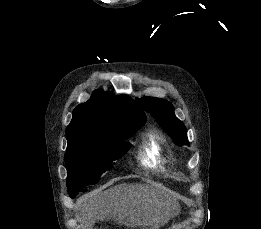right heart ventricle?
<instances>
[{
  "label": "right heart ventricle",
  "mask_w": 261,
  "mask_h": 229,
  "mask_svg": "<svg viewBox=\"0 0 261 229\" xmlns=\"http://www.w3.org/2000/svg\"><path fill=\"white\" fill-rule=\"evenodd\" d=\"M137 159L143 167L164 169L170 163L167 142L156 131L146 133L138 144Z\"/></svg>",
  "instance_id": "right-heart-ventricle-1"
}]
</instances>
